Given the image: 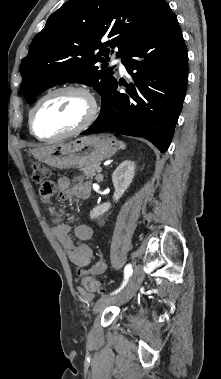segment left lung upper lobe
<instances>
[{
    "label": "left lung upper lobe",
    "instance_id": "1",
    "mask_svg": "<svg viewBox=\"0 0 221 379\" xmlns=\"http://www.w3.org/2000/svg\"><path fill=\"white\" fill-rule=\"evenodd\" d=\"M164 0H70L47 20L21 63L29 103L57 84L83 83L102 96L115 80L111 49L125 52L155 23ZM113 52V51H112ZM102 62V67L96 66Z\"/></svg>",
    "mask_w": 221,
    "mask_h": 379
}]
</instances>
